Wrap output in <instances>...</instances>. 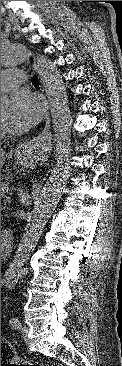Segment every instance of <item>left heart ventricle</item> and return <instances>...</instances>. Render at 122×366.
Wrapping results in <instances>:
<instances>
[{"mask_svg": "<svg viewBox=\"0 0 122 366\" xmlns=\"http://www.w3.org/2000/svg\"><path fill=\"white\" fill-rule=\"evenodd\" d=\"M6 108L1 109V129H6L5 126V115H6Z\"/></svg>", "mask_w": 122, "mask_h": 366, "instance_id": "obj_1", "label": "left heart ventricle"}]
</instances>
